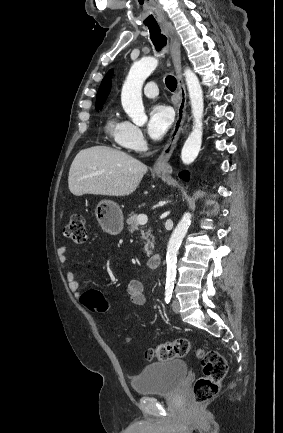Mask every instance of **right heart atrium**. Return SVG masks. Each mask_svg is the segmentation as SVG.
I'll return each instance as SVG.
<instances>
[{
    "instance_id": "right-heart-atrium-1",
    "label": "right heart atrium",
    "mask_w": 283,
    "mask_h": 433,
    "mask_svg": "<svg viewBox=\"0 0 283 433\" xmlns=\"http://www.w3.org/2000/svg\"><path fill=\"white\" fill-rule=\"evenodd\" d=\"M115 139L124 149L135 153L144 151L146 147V142L141 130L128 121L123 122L122 129L115 136Z\"/></svg>"
}]
</instances>
